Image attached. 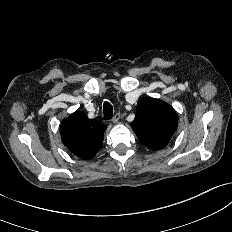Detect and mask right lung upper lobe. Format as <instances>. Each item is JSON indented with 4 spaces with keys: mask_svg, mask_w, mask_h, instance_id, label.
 Wrapping results in <instances>:
<instances>
[{
    "mask_svg": "<svg viewBox=\"0 0 232 232\" xmlns=\"http://www.w3.org/2000/svg\"><path fill=\"white\" fill-rule=\"evenodd\" d=\"M106 129V126L98 121L76 111L62 121L60 134L63 144L73 154L89 160L101 148Z\"/></svg>",
    "mask_w": 232,
    "mask_h": 232,
    "instance_id": "obj_1",
    "label": "right lung upper lobe"
}]
</instances>
